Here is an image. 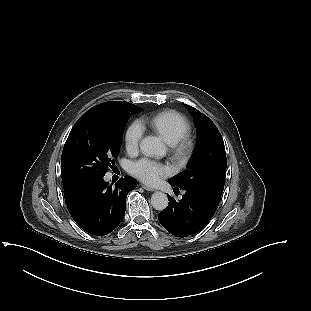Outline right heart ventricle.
Masks as SVG:
<instances>
[{
	"instance_id": "right-heart-ventricle-1",
	"label": "right heart ventricle",
	"mask_w": 311,
	"mask_h": 311,
	"mask_svg": "<svg viewBox=\"0 0 311 311\" xmlns=\"http://www.w3.org/2000/svg\"><path fill=\"white\" fill-rule=\"evenodd\" d=\"M151 125L168 144H176L190 130V123L186 116L174 110L156 115Z\"/></svg>"
}]
</instances>
